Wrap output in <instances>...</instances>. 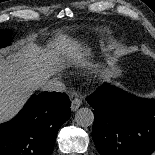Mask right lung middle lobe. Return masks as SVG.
<instances>
[{
    "label": "right lung middle lobe",
    "mask_w": 155,
    "mask_h": 155,
    "mask_svg": "<svg viewBox=\"0 0 155 155\" xmlns=\"http://www.w3.org/2000/svg\"><path fill=\"white\" fill-rule=\"evenodd\" d=\"M9 33L10 32L8 30L0 29V48L9 45V42H10Z\"/></svg>",
    "instance_id": "dd1d6c3e"
}]
</instances>
